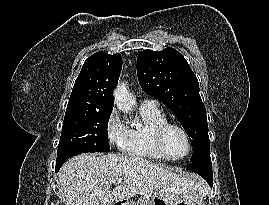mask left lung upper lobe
Here are the masks:
<instances>
[{
  "label": "left lung upper lobe",
  "instance_id": "5c2ea615",
  "mask_svg": "<svg viewBox=\"0 0 269 205\" xmlns=\"http://www.w3.org/2000/svg\"><path fill=\"white\" fill-rule=\"evenodd\" d=\"M137 75L142 89L166 105L186 131L193 145L191 163L210 153L206 109L187 60L173 48L144 50L137 58Z\"/></svg>",
  "mask_w": 269,
  "mask_h": 205
}]
</instances>
